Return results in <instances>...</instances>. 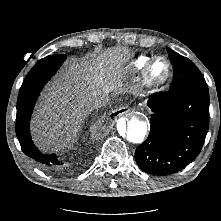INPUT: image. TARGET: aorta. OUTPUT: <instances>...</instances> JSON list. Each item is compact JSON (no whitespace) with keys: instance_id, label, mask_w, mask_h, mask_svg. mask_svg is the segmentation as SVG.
Here are the masks:
<instances>
[{"instance_id":"1","label":"aorta","mask_w":221,"mask_h":221,"mask_svg":"<svg viewBox=\"0 0 221 221\" xmlns=\"http://www.w3.org/2000/svg\"><path fill=\"white\" fill-rule=\"evenodd\" d=\"M148 124L140 114L120 117L116 122V134L122 140L131 143H142L147 133Z\"/></svg>"}]
</instances>
